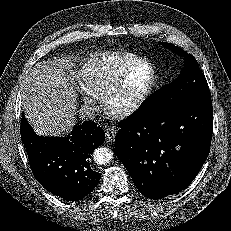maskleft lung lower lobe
<instances>
[{
	"label": "left lung lower lobe",
	"instance_id": "0a47b994",
	"mask_svg": "<svg viewBox=\"0 0 231 231\" xmlns=\"http://www.w3.org/2000/svg\"><path fill=\"white\" fill-rule=\"evenodd\" d=\"M115 151L141 194L161 199L185 189L210 150L211 99H196L156 115L141 110L120 122Z\"/></svg>",
	"mask_w": 231,
	"mask_h": 231
}]
</instances>
